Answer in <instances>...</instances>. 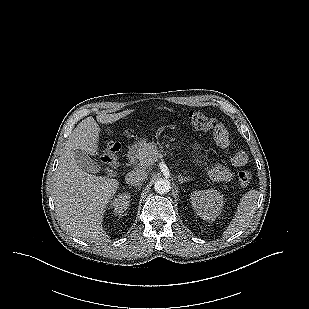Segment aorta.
Wrapping results in <instances>:
<instances>
[{"label":"aorta","instance_id":"obj_1","mask_svg":"<svg viewBox=\"0 0 309 309\" xmlns=\"http://www.w3.org/2000/svg\"><path fill=\"white\" fill-rule=\"evenodd\" d=\"M154 189L159 194H165L170 191L171 185L167 179H158L154 184Z\"/></svg>","mask_w":309,"mask_h":309}]
</instances>
